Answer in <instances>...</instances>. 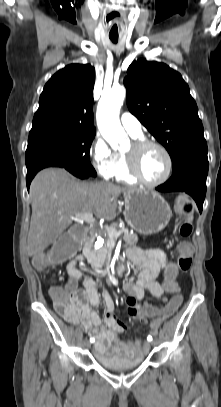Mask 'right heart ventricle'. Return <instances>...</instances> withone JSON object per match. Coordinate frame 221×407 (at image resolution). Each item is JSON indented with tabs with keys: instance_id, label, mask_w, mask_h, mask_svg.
I'll use <instances>...</instances> for the list:
<instances>
[{
	"instance_id": "obj_1",
	"label": "right heart ventricle",
	"mask_w": 221,
	"mask_h": 407,
	"mask_svg": "<svg viewBox=\"0 0 221 407\" xmlns=\"http://www.w3.org/2000/svg\"><path fill=\"white\" fill-rule=\"evenodd\" d=\"M139 137L140 136L134 137V138H139ZM118 155H119V165H118V169L115 173L116 179L118 181L127 182V183L135 182L136 180L129 174L125 155L124 154H118Z\"/></svg>"
}]
</instances>
